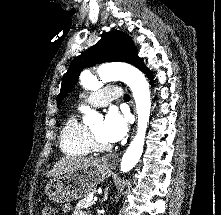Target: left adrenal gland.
I'll return each mask as SVG.
<instances>
[{"label":"left adrenal gland","mask_w":221,"mask_h":215,"mask_svg":"<svg viewBox=\"0 0 221 215\" xmlns=\"http://www.w3.org/2000/svg\"><path fill=\"white\" fill-rule=\"evenodd\" d=\"M107 199H108V189H106V191L104 192V196H103L102 202L106 201Z\"/></svg>","instance_id":"1"}]
</instances>
